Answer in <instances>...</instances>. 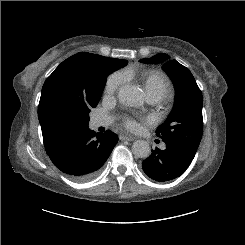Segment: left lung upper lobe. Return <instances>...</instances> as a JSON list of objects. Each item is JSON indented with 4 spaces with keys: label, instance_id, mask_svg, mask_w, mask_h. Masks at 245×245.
Returning a JSON list of instances; mask_svg holds the SVG:
<instances>
[{
    "label": "left lung upper lobe",
    "instance_id": "left-lung-upper-lobe-1",
    "mask_svg": "<svg viewBox=\"0 0 245 245\" xmlns=\"http://www.w3.org/2000/svg\"><path fill=\"white\" fill-rule=\"evenodd\" d=\"M167 54H156L145 63L164 62L163 67L171 76L176 88L173 110L156 130L164 142H179L197 151L203 133L202 93L191 72Z\"/></svg>",
    "mask_w": 245,
    "mask_h": 245
}]
</instances>
